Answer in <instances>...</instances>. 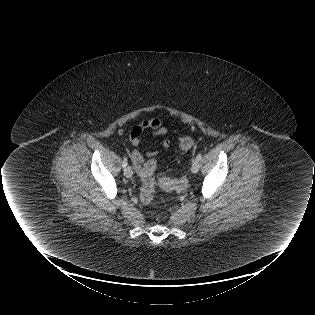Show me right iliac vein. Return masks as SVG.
<instances>
[{
    "instance_id": "63e3f726",
    "label": "right iliac vein",
    "mask_w": 315,
    "mask_h": 315,
    "mask_svg": "<svg viewBox=\"0 0 315 315\" xmlns=\"http://www.w3.org/2000/svg\"><path fill=\"white\" fill-rule=\"evenodd\" d=\"M124 175H125L126 178H131L132 177L133 171H132V168L130 166H127L124 169Z\"/></svg>"
}]
</instances>
